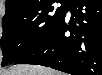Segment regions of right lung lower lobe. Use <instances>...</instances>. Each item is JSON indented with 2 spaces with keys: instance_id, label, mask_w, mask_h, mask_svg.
Here are the masks:
<instances>
[{
  "instance_id": "obj_1",
  "label": "right lung lower lobe",
  "mask_w": 102,
  "mask_h": 75,
  "mask_svg": "<svg viewBox=\"0 0 102 75\" xmlns=\"http://www.w3.org/2000/svg\"><path fill=\"white\" fill-rule=\"evenodd\" d=\"M101 7L99 0H69L70 21L64 17L37 47L15 64H38L71 75H101Z\"/></svg>"
}]
</instances>
